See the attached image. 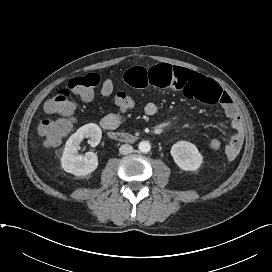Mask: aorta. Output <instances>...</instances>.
<instances>
[{
  "instance_id": "762f6f07",
  "label": "aorta",
  "mask_w": 272,
  "mask_h": 272,
  "mask_svg": "<svg viewBox=\"0 0 272 272\" xmlns=\"http://www.w3.org/2000/svg\"><path fill=\"white\" fill-rule=\"evenodd\" d=\"M138 149L142 152V153H147L150 151L151 146L150 143L147 141H142L139 143L138 145Z\"/></svg>"
}]
</instances>
